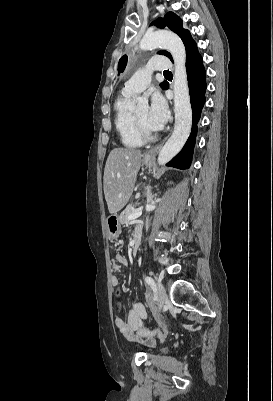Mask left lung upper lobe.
Masks as SVG:
<instances>
[{
    "instance_id": "5c2ea615",
    "label": "left lung upper lobe",
    "mask_w": 273,
    "mask_h": 401,
    "mask_svg": "<svg viewBox=\"0 0 273 401\" xmlns=\"http://www.w3.org/2000/svg\"><path fill=\"white\" fill-rule=\"evenodd\" d=\"M151 25H156L157 27H159L161 29L167 27L168 29L174 31L182 39V41L185 45V48H187L190 44H192L194 42V40L191 37L190 32L182 27V20L180 19V17H178L173 12H168L164 16V18H158L157 20L152 22ZM158 54L165 55L172 60L171 54L167 51H159ZM126 64H127V56L124 55L119 60V64H118V72L119 73L124 71ZM166 84H167L166 82H163L160 84V86L164 89Z\"/></svg>"
}]
</instances>
